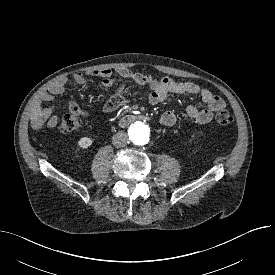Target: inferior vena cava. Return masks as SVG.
<instances>
[{"instance_id":"obj_1","label":"inferior vena cava","mask_w":275,"mask_h":275,"mask_svg":"<svg viewBox=\"0 0 275 275\" xmlns=\"http://www.w3.org/2000/svg\"><path fill=\"white\" fill-rule=\"evenodd\" d=\"M129 142L128 136L124 132H117L113 135L112 143L116 148L125 147Z\"/></svg>"}]
</instances>
